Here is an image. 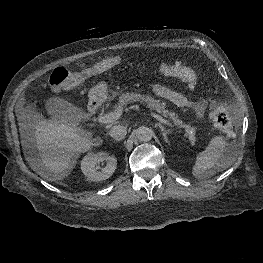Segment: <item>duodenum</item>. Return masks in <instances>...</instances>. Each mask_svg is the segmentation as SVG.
I'll list each match as a JSON object with an SVG mask.
<instances>
[{
	"label": "duodenum",
	"instance_id": "obj_1",
	"mask_svg": "<svg viewBox=\"0 0 263 263\" xmlns=\"http://www.w3.org/2000/svg\"><path fill=\"white\" fill-rule=\"evenodd\" d=\"M99 107V103L96 100H91L88 109L91 113H95Z\"/></svg>",
	"mask_w": 263,
	"mask_h": 263
}]
</instances>
